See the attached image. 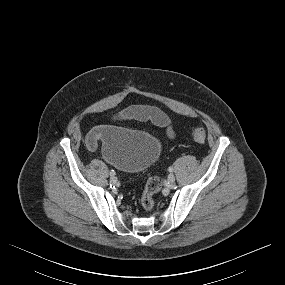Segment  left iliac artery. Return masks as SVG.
<instances>
[{
    "mask_svg": "<svg viewBox=\"0 0 285 285\" xmlns=\"http://www.w3.org/2000/svg\"><path fill=\"white\" fill-rule=\"evenodd\" d=\"M168 170H169V172H172L174 169H173V167H169Z\"/></svg>",
    "mask_w": 285,
    "mask_h": 285,
    "instance_id": "44dca946",
    "label": "left iliac artery"
}]
</instances>
